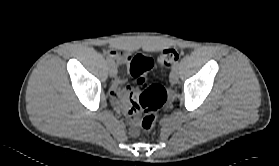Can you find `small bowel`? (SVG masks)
<instances>
[{"instance_id":"obj_1","label":"small bowel","mask_w":279,"mask_h":166,"mask_svg":"<svg viewBox=\"0 0 279 166\" xmlns=\"http://www.w3.org/2000/svg\"><path fill=\"white\" fill-rule=\"evenodd\" d=\"M109 56L120 65H130L132 57L128 53H120L115 50L109 51ZM110 94L114 102L124 108L130 118H133L135 113L140 112V103L137 102L138 95L135 89L131 86H124V80L116 78L111 86ZM128 98L130 100H128ZM131 133L136 135L137 131L132 128Z\"/></svg>"}]
</instances>
